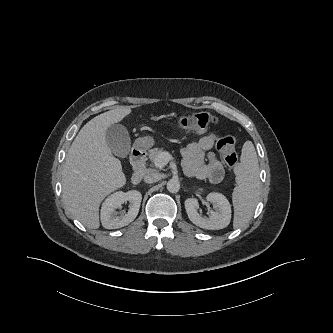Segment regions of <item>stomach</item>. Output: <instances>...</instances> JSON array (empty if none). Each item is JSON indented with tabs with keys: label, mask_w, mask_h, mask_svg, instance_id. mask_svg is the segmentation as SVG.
Masks as SVG:
<instances>
[{
	"label": "stomach",
	"mask_w": 333,
	"mask_h": 333,
	"mask_svg": "<svg viewBox=\"0 0 333 333\" xmlns=\"http://www.w3.org/2000/svg\"><path fill=\"white\" fill-rule=\"evenodd\" d=\"M155 144V140L152 136H142L136 139L135 141V148L139 150H148Z\"/></svg>",
	"instance_id": "0dacf381"
}]
</instances>
